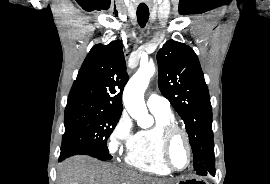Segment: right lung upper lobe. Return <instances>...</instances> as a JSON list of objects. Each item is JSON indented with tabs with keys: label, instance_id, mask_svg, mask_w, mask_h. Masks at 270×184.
I'll use <instances>...</instances> for the list:
<instances>
[{
	"label": "right lung upper lobe",
	"instance_id": "obj_1",
	"mask_svg": "<svg viewBox=\"0 0 270 184\" xmlns=\"http://www.w3.org/2000/svg\"><path fill=\"white\" fill-rule=\"evenodd\" d=\"M128 79L122 42L96 44L79 70L68 101L89 102L121 115L122 92Z\"/></svg>",
	"mask_w": 270,
	"mask_h": 184
}]
</instances>
